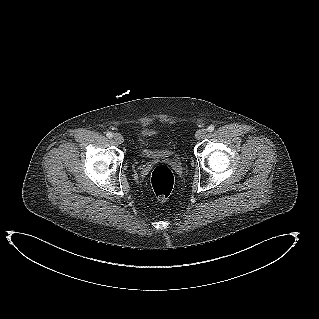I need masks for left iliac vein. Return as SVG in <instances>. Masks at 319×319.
<instances>
[{
    "label": "left iliac vein",
    "mask_w": 319,
    "mask_h": 319,
    "mask_svg": "<svg viewBox=\"0 0 319 319\" xmlns=\"http://www.w3.org/2000/svg\"><path fill=\"white\" fill-rule=\"evenodd\" d=\"M207 131L205 129H200L196 132L195 137L196 139H202L203 137H205Z\"/></svg>",
    "instance_id": "left-iliac-vein-1"
}]
</instances>
